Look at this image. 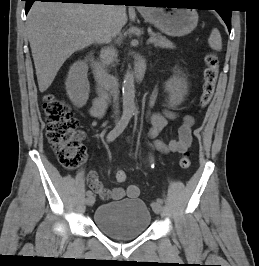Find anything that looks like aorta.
Segmentation results:
<instances>
[{"label": "aorta", "mask_w": 259, "mask_h": 266, "mask_svg": "<svg viewBox=\"0 0 259 266\" xmlns=\"http://www.w3.org/2000/svg\"><path fill=\"white\" fill-rule=\"evenodd\" d=\"M123 115L131 117L135 110V85L132 71L127 70L122 87Z\"/></svg>", "instance_id": "obj_1"}]
</instances>
